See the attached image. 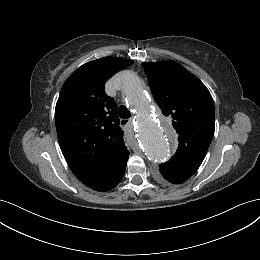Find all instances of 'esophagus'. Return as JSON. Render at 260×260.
<instances>
[{
  "instance_id": "34e87169",
  "label": "esophagus",
  "mask_w": 260,
  "mask_h": 260,
  "mask_svg": "<svg viewBox=\"0 0 260 260\" xmlns=\"http://www.w3.org/2000/svg\"><path fill=\"white\" fill-rule=\"evenodd\" d=\"M129 122H130V120L122 119V120L120 121V124H121V126L123 127V126H126Z\"/></svg>"
}]
</instances>
